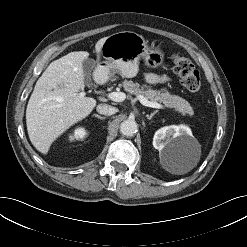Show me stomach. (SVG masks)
<instances>
[{"label": "stomach", "mask_w": 247, "mask_h": 247, "mask_svg": "<svg viewBox=\"0 0 247 247\" xmlns=\"http://www.w3.org/2000/svg\"><path fill=\"white\" fill-rule=\"evenodd\" d=\"M101 54L105 60L98 64L96 75L103 79H107L112 71L125 78L136 76L141 59L149 68H157L164 61L162 49L150 48L142 35L132 31L117 32L108 36Z\"/></svg>", "instance_id": "1"}]
</instances>
